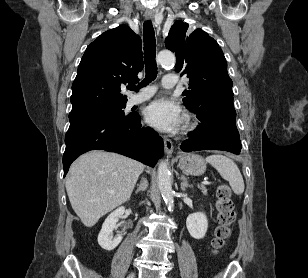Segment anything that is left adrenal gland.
Masks as SVG:
<instances>
[{
    "instance_id": "1",
    "label": "left adrenal gland",
    "mask_w": 308,
    "mask_h": 278,
    "mask_svg": "<svg viewBox=\"0 0 308 278\" xmlns=\"http://www.w3.org/2000/svg\"><path fill=\"white\" fill-rule=\"evenodd\" d=\"M180 179L182 181L181 184H180L182 191H185L186 188H188V187L192 188V185H189L187 178L184 175H182Z\"/></svg>"
}]
</instances>
